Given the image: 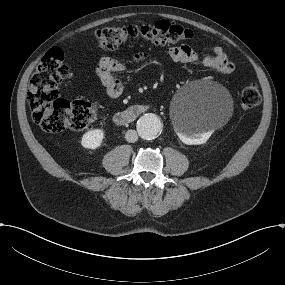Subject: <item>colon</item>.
Here are the masks:
<instances>
[{
	"instance_id": "1",
	"label": "colon",
	"mask_w": 285,
	"mask_h": 285,
	"mask_svg": "<svg viewBox=\"0 0 285 285\" xmlns=\"http://www.w3.org/2000/svg\"><path fill=\"white\" fill-rule=\"evenodd\" d=\"M98 45L107 50L117 49L126 42L145 41L160 46L180 41H191V30L166 20L149 25L110 26L96 31ZM70 74L59 48L50 49L30 78L27 102L33 121L47 132L81 131L89 128L98 118L96 106L85 100L69 101L61 98L59 84ZM261 102V93L255 84L244 87L240 104L252 109Z\"/></svg>"
}]
</instances>
